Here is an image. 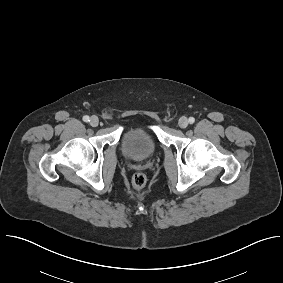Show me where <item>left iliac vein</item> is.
Masks as SVG:
<instances>
[{
  "instance_id": "obj_1",
  "label": "left iliac vein",
  "mask_w": 283,
  "mask_h": 283,
  "mask_svg": "<svg viewBox=\"0 0 283 283\" xmlns=\"http://www.w3.org/2000/svg\"><path fill=\"white\" fill-rule=\"evenodd\" d=\"M178 124L181 128H186L189 124V121L186 117H181L178 121Z\"/></svg>"
}]
</instances>
